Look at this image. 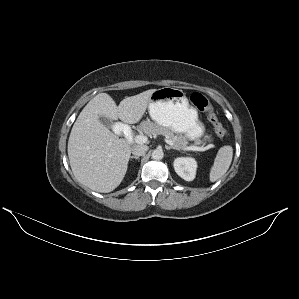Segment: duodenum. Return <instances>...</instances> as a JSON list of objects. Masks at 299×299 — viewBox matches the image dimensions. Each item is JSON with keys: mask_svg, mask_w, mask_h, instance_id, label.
I'll return each mask as SVG.
<instances>
[{"mask_svg": "<svg viewBox=\"0 0 299 299\" xmlns=\"http://www.w3.org/2000/svg\"><path fill=\"white\" fill-rule=\"evenodd\" d=\"M128 138H129V140H131V136H130V134H129V137H128Z\"/></svg>", "mask_w": 299, "mask_h": 299, "instance_id": "duodenum-1", "label": "duodenum"}]
</instances>
